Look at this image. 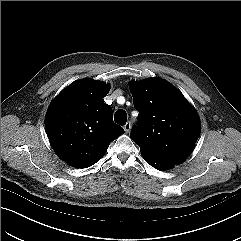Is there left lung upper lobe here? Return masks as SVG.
Returning a JSON list of instances; mask_svg holds the SVG:
<instances>
[{"mask_svg":"<svg viewBox=\"0 0 241 241\" xmlns=\"http://www.w3.org/2000/svg\"><path fill=\"white\" fill-rule=\"evenodd\" d=\"M130 90L140 122L130 137L141 154L173 166L182 163L200 134V121L192 105L160 78L133 81Z\"/></svg>","mask_w":241,"mask_h":241,"instance_id":"left-lung-upper-lobe-1","label":"left lung upper lobe"}]
</instances>
